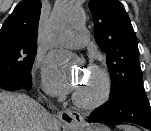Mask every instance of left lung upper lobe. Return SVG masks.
<instances>
[{
  "instance_id": "5c2ea615",
  "label": "left lung upper lobe",
  "mask_w": 151,
  "mask_h": 131,
  "mask_svg": "<svg viewBox=\"0 0 151 131\" xmlns=\"http://www.w3.org/2000/svg\"><path fill=\"white\" fill-rule=\"evenodd\" d=\"M94 35L106 53L111 75L110 98L133 84H142L137 38L130 18L119 0H90Z\"/></svg>"
}]
</instances>
